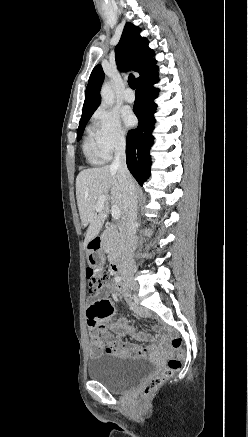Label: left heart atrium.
<instances>
[{
    "label": "left heart atrium",
    "mask_w": 248,
    "mask_h": 437,
    "mask_svg": "<svg viewBox=\"0 0 248 437\" xmlns=\"http://www.w3.org/2000/svg\"><path fill=\"white\" fill-rule=\"evenodd\" d=\"M122 118L127 128L134 126V124L136 123V118L130 110H124L122 113Z\"/></svg>",
    "instance_id": "left-heart-atrium-1"
}]
</instances>
